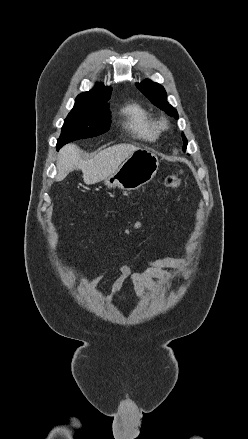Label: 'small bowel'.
<instances>
[{
	"label": "small bowel",
	"instance_id": "c3829d8e",
	"mask_svg": "<svg viewBox=\"0 0 248 439\" xmlns=\"http://www.w3.org/2000/svg\"><path fill=\"white\" fill-rule=\"evenodd\" d=\"M168 268L187 270L188 265L184 259L176 257H162L153 260L149 262L147 268L143 271L137 270L130 264L122 263L119 266L120 273L115 279L111 293L106 297V299L113 300L122 285L127 280H130L132 282L134 286V292L137 297L142 294L144 288H149L151 290L161 292L163 291V289L157 283V280H162L170 283L179 281V278L176 275L166 271V269ZM105 271L106 270L103 269L98 277L87 286L88 290L94 288L96 281L102 277ZM66 275L70 276L72 274L67 273Z\"/></svg>",
	"mask_w": 248,
	"mask_h": 439
}]
</instances>
